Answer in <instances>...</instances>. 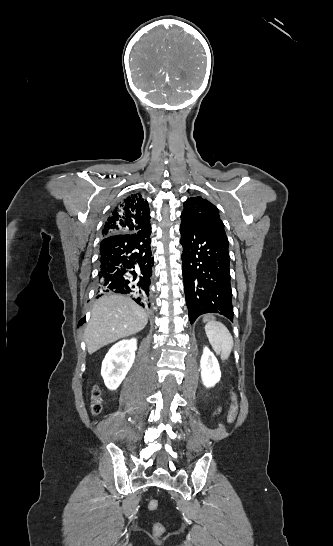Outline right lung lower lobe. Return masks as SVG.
Listing matches in <instances>:
<instances>
[{
	"instance_id": "98d812e1",
	"label": "right lung lower lobe",
	"mask_w": 333,
	"mask_h": 546,
	"mask_svg": "<svg viewBox=\"0 0 333 546\" xmlns=\"http://www.w3.org/2000/svg\"><path fill=\"white\" fill-rule=\"evenodd\" d=\"M151 227L131 233L104 236L99 250L98 297L108 292L130 296L149 307V286L154 258L150 248Z\"/></svg>"
}]
</instances>
